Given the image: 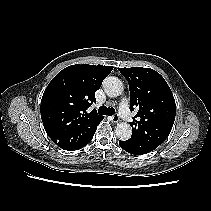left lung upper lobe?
<instances>
[{
	"instance_id": "5c2ea615",
	"label": "left lung upper lobe",
	"mask_w": 211,
	"mask_h": 211,
	"mask_svg": "<svg viewBox=\"0 0 211 211\" xmlns=\"http://www.w3.org/2000/svg\"><path fill=\"white\" fill-rule=\"evenodd\" d=\"M118 70L129 83L131 112L138 110L130 123L132 136L128 141L156 149L169 136L175 120L173 94L164 78L153 69Z\"/></svg>"
}]
</instances>
